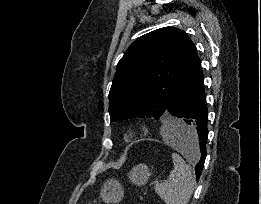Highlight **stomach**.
Masks as SVG:
<instances>
[{
	"label": "stomach",
	"instance_id": "0dacf381",
	"mask_svg": "<svg viewBox=\"0 0 261 204\" xmlns=\"http://www.w3.org/2000/svg\"><path fill=\"white\" fill-rule=\"evenodd\" d=\"M128 177L130 181L137 185H144L149 177L150 171L145 164H138L132 168ZM124 196L122 185L116 179L109 178L101 186L100 197L107 203H115L120 201Z\"/></svg>",
	"mask_w": 261,
	"mask_h": 204
}]
</instances>
